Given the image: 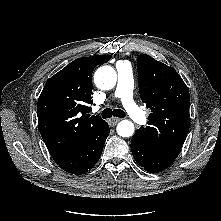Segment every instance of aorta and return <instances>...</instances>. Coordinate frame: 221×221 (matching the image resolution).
I'll return each instance as SVG.
<instances>
[{"label": "aorta", "mask_w": 221, "mask_h": 221, "mask_svg": "<svg viewBox=\"0 0 221 221\" xmlns=\"http://www.w3.org/2000/svg\"><path fill=\"white\" fill-rule=\"evenodd\" d=\"M96 86L102 90L112 89L117 82L116 71L111 66L98 68L94 75ZM117 133L122 137H130L134 134V125L129 120H122L117 125Z\"/></svg>", "instance_id": "1"}]
</instances>
